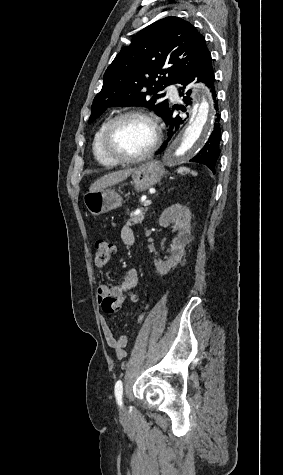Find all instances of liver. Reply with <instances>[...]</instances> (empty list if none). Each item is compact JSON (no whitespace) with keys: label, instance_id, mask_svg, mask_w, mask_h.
I'll return each mask as SVG.
<instances>
[{"label":"liver","instance_id":"obj_1","mask_svg":"<svg viewBox=\"0 0 283 475\" xmlns=\"http://www.w3.org/2000/svg\"><path fill=\"white\" fill-rule=\"evenodd\" d=\"M135 168H128V170H120V172H111V174H106L103 178L96 180L94 184H91L89 188V194H94V192H100L104 188H109V186H115L123 180H127L128 176H131Z\"/></svg>","mask_w":283,"mask_h":475}]
</instances>
